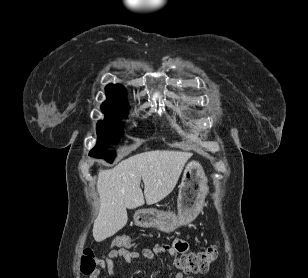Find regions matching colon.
<instances>
[{"label":"colon","mask_w":308,"mask_h":278,"mask_svg":"<svg viewBox=\"0 0 308 278\" xmlns=\"http://www.w3.org/2000/svg\"><path fill=\"white\" fill-rule=\"evenodd\" d=\"M114 245L122 248L132 246L130 237L121 235L115 238ZM112 246L113 248L115 246ZM217 258V248L209 247L201 251L185 253L175 261V266L183 273H204ZM100 266V258L90 249H85L81 259V272L92 278Z\"/></svg>","instance_id":"obj_1"}]
</instances>
